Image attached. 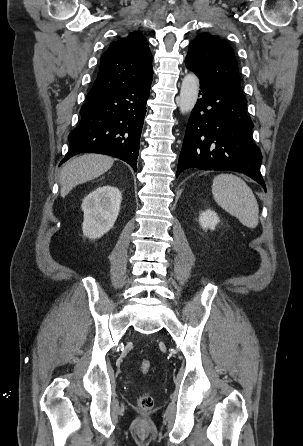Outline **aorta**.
<instances>
[{"instance_id": "obj_1", "label": "aorta", "mask_w": 303, "mask_h": 446, "mask_svg": "<svg viewBox=\"0 0 303 446\" xmlns=\"http://www.w3.org/2000/svg\"><path fill=\"white\" fill-rule=\"evenodd\" d=\"M199 92V79L196 75L187 74L181 84L180 96L178 105L180 112L186 114L192 111L195 107Z\"/></svg>"}]
</instances>
